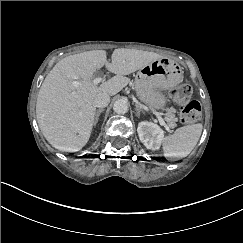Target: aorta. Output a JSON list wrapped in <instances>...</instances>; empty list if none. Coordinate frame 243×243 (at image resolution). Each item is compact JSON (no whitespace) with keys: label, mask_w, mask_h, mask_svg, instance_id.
<instances>
[{"label":"aorta","mask_w":243,"mask_h":243,"mask_svg":"<svg viewBox=\"0 0 243 243\" xmlns=\"http://www.w3.org/2000/svg\"><path fill=\"white\" fill-rule=\"evenodd\" d=\"M113 110L117 114H125L128 111V104L125 100H117L114 102Z\"/></svg>","instance_id":"obj_1"}]
</instances>
